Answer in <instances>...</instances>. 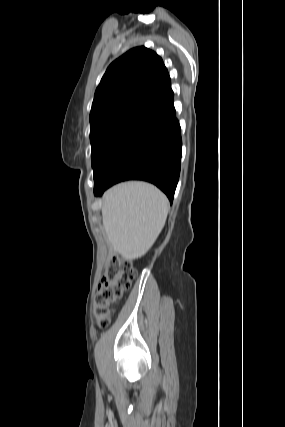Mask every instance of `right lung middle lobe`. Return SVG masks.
Segmentation results:
<instances>
[{
	"mask_svg": "<svg viewBox=\"0 0 285 427\" xmlns=\"http://www.w3.org/2000/svg\"><path fill=\"white\" fill-rule=\"evenodd\" d=\"M142 114L143 111L124 110L91 122L90 141L94 177L104 168Z\"/></svg>",
	"mask_w": 285,
	"mask_h": 427,
	"instance_id": "dd1d6c3e",
	"label": "right lung middle lobe"
}]
</instances>
